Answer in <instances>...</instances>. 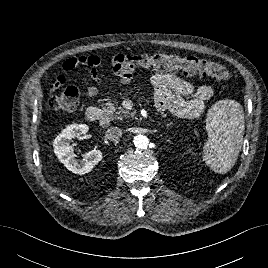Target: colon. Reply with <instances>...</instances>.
Here are the masks:
<instances>
[{
    "mask_svg": "<svg viewBox=\"0 0 268 268\" xmlns=\"http://www.w3.org/2000/svg\"><path fill=\"white\" fill-rule=\"evenodd\" d=\"M116 65L121 69L141 67L154 70H181L186 76L201 75L220 81H227L231 76L229 71L219 63L193 55L183 56L175 53H158L138 57L121 54L117 59ZM78 98L79 90L74 86H70L58 95H50L48 106L54 110L71 112L75 110Z\"/></svg>",
    "mask_w": 268,
    "mask_h": 268,
    "instance_id": "1",
    "label": "colon"
}]
</instances>
